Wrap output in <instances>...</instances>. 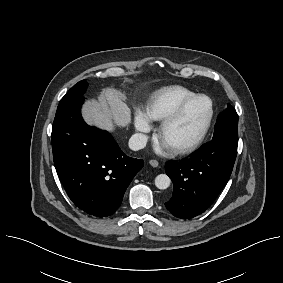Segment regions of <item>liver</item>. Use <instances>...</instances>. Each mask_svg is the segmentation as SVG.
Listing matches in <instances>:
<instances>
[{
    "label": "liver",
    "instance_id": "liver-1",
    "mask_svg": "<svg viewBox=\"0 0 283 283\" xmlns=\"http://www.w3.org/2000/svg\"><path fill=\"white\" fill-rule=\"evenodd\" d=\"M82 115L89 125L97 126L107 131L116 127H125L131 122V110L119 94L111 88L104 89L98 100L87 102Z\"/></svg>",
    "mask_w": 283,
    "mask_h": 283
}]
</instances>
